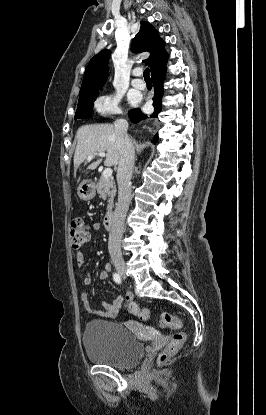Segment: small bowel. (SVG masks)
<instances>
[{
    "instance_id": "c3829d8e",
    "label": "small bowel",
    "mask_w": 266,
    "mask_h": 415,
    "mask_svg": "<svg viewBox=\"0 0 266 415\" xmlns=\"http://www.w3.org/2000/svg\"><path fill=\"white\" fill-rule=\"evenodd\" d=\"M92 228L94 230H99L100 224L93 223ZM76 263L79 267H82L85 264L84 253L80 250L76 252ZM110 270H111L110 264L108 263L105 264L104 269L99 273L100 279L102 280L106 279L109 276ZM82 282L86 286L90 285L92 282V278L90 274L84 275L82 278ZM122 300L123 298L121 296H118L112 302H104L103 309L99 310V309H93L91 307L89 295L87 292H83L81 295V302L86 312L92 313L102 318H108V319L115 318L118 315ZM126 300L132 301V295L130 293L126 295Z\"/></svg>"
}]
</instances>
